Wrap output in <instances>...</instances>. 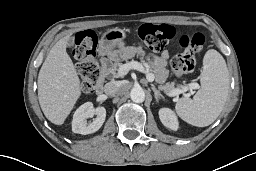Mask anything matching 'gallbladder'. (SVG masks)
<instances>
[{
  "label": "gallbladder",
  "mask_w": 256,
  "mask_h": 171,
  "mask_svg": "<svg viewBox=\"0 0 256 171\" xmlns=\"http://www.w3.org/2000/svg\"><path fill=\"white\" fill-rule=\"evenodd\" d=\"M74 45L73 37L68 38L67 40V47H72Z\"/></svg>",
  "instance_id": "1"
}]
</instances>
